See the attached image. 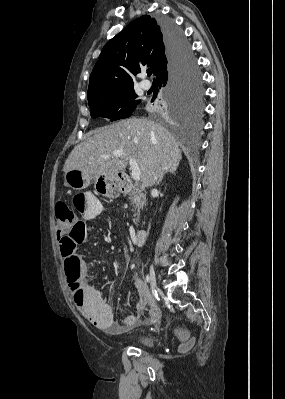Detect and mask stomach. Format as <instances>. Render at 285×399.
<instances>
[{
  "mask_svg": "<svg viewBox=\"0 0 285 399\" xmlns=\"http://www.w3.org/2000/svg\"><path fill=\"white\" fill-rule=\"evenodd\" d=\"M92 180L97 193L103 196L117 198L122 193L123 181L118 175L90 177L78 169H71L64 175V184L74 190L86 189Z\"/></svg>",
  "mask_w": 285,
  "mask_h": 399,
  "instance_id": "0dacf381",
  "label": "stomach"
}]
</instances>
